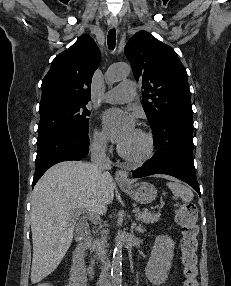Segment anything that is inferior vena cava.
<instances>
[{"mask_svg":"<svg viewBox=\"0 0 231 286\" xmlns=\"http://www.w3.org/2000/svg\"><path fill=\"white\" fill-rule=\"evenodd\" d=\"M91 162L96 174L102 179L110 176L108 170L111 169V161L106 155V143L104 140H96L91 144ZM106 208L102 207L99 214H104ZM100 286H111L107 263H103L100 274Z\"/></svg>","mask_w":231,"mask_h":286,"instance_id":"obj_1","label":"inferior vena cava"}]
</instances>
